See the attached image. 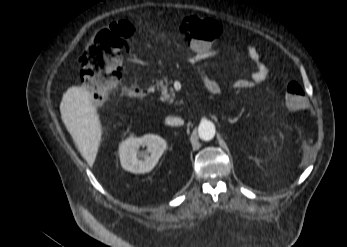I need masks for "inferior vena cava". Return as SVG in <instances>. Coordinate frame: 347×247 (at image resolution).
Returning a JSON list of instances; mask_svg holds the SVG:
<instances>
[{"instance_id": "inferior-vena-cava-1", "label": "inferior vena cava", "mask_w": 347, "mask_h": 247, "mask_svg": "<svg viewBox=\"0 0 347 247\" xmlns=\"http://www.w3.org/2000/svg\"><path fill=\"white\" fill-rule=\"evenodd\" d=\"M166 120H167V123L170 125H182L184 123V121L181 118L169 117Z\"/></svg>"}]
</instances>
